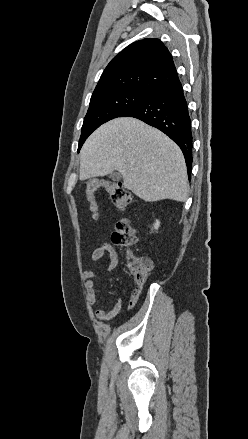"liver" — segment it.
<instances>
[{
    "mask_svg": "<svg viewBox=\"0 0 248 439\" xmlns=\"http://www.w3.org/2000/svg\"><path fill=\"white\" fill-rule=\"evenodd\" d=\"M119 171L124 186L146 202H184L189 185L181 149L164 133L144 122L120 117L101 125L80 152L79 178L84 181Z\"/></svg>",
    "mask_w": 248,
    "mask_h": 439,
    "instance_id": "6515ba94",
    "label": "liver"
}]
</instances>
